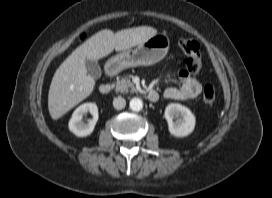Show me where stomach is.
Listing matches in <instances>:
<instances>
[{"instance_id": "1", "label": "stomach", "mask_w": 272, "mask_h": 198, "mask_svg": "<svg viewBox=\"0 0 272 198\" xmlns=\"http://www.w3.org/2000/svg\"><path fill=\"white\" fill-rule=\"evenodd\" d=\"M170 40L164 34H158L139 44L134 50H125L111 57L105 64L108 73L136 66H150L161 61L168 53Z\"/></svg>"}]
</instances>
